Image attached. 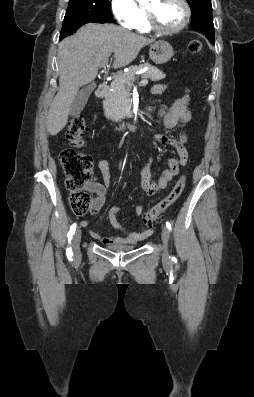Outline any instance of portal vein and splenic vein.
<instances>
[{
	"instance_id": "portal-vein-and-splenic-vein-1",
	"label": "portal vein and splenic vein",
	"mask_w": 254,
	"mask_h": 397,
	"mask_svg": "<svg viewBox=\"0 0 254 397\" xmlns=\"http://www.w3.org/2000/svg\"><path fill=\"white\" fill-rule=\"evenodd\" d=\"M108 64V60H104L101 62V64L99 65L100 67H105ZM140 85H146L148 84V80L147 79H143L140 81L139 83Z\"/></svg>"
}]
</instances>
